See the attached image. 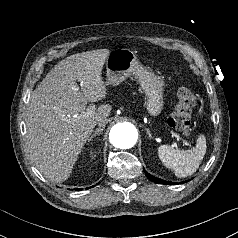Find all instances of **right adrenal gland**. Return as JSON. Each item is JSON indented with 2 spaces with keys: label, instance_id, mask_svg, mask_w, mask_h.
I'll return each instance as SVG.
<instances>
[{
  "label": "right adrenal gland",
  "instance_id": "right-adrenal-gland-1",
  "mask_svg": "<svg viewBox=\"0 0 238 238\" xmlns=\"http://www.w3.org/2000/svg\"><path fill=\"white\" fill-rule=\"evenodd\" d=\"M104 130V127L97 128L94 133L89 137L88 142H90L97 134L101 135Z\"/></svg>",
  "mask_w": 238,
  "mask_h": 238
}]
</instances>
